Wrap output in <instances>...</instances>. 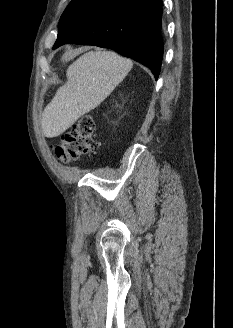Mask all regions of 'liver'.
<instances>
[{
    "instance_id": "1",
    "label": "liver",
    "mask_w": 233,
    "mask_h": 328,
    "mask_svg": "<svg viewBox=\"0 0 233 328\" xmlns=\"http://www.w3.org/2000/svg\"><path fill=\"white\" fill-rule=\"evenodd\" d=\"M132 61L112 51H89L66 71L61 86L42 113L41 126L47 138L61 135L81 116L95 109L125 78Z\"/></svg>"
}]
</instances>
